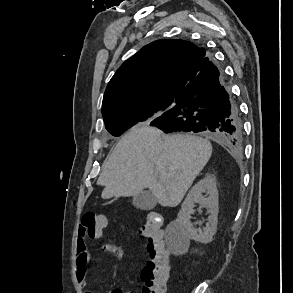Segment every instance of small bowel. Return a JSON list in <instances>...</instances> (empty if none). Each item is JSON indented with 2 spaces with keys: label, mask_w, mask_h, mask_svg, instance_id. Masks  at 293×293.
<instances>
[{
  "label": "small bowel",
  "mask_w": 293,
  "mask_h": 293,
  "mask_svg": "<svg viewBox=\"0 0 293 293\" xmlns=\"http://www.w3.org/2000/svg\"><path fill=\"white\" fill-rule=\"evenodd\" d=\"M100 251L113 255L116 259L121 260L125 256V250L123 247L111 242L103 243L100 247ZM92 261V255L87 247V238L84 235L81 227L79 228L78 236L76 239V256L75 267L77 280L80 286H87V268ZM85 293H94L91 290H86ZM111 293H132L130 290H124L121 288H115Z\"/></svg>",
  "instance_id": "1"
}]
</instances>
